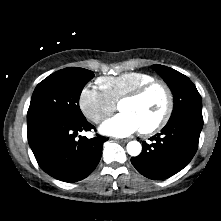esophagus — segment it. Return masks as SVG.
I'll use <instances>...</instances> for the list:
<instances>
[{"label": "esophagus", "instance_id": "esophagus-1", "mask_svg": "<svg viewBox=\"0 0 221 221\" xmlns=\"http://www.w3.org/2000/svg\"><path fill=\"white\" fill-rule=\"evenodd\" d=\"M115 141L119 142V143H127L128 139H118V138H116Z\"/></svg>", "mask_w": 221, "mask_h": 221}]
</instances>
